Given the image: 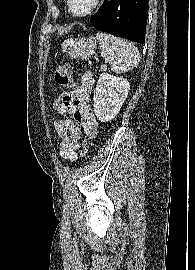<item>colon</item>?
Listing matches in <instances>:
<instances>
[{
    "instance_id": "colon-1",
    "label": "colon",
    "mask_w": 195,
    "mask_h": 270,
    "mask_svg": "<svg viewBox=\"0 0 195 270\" xmlns=\"http://www.w3.org/2000/svg\"><path fill=\"white\" fill-rule=\"evenodd\" d=\"M55 82L62 87H74V82L71 78V68L69 65H64L60 70L55 73ZM75 90L62 93L56 98L53 103V109H66L69 108L75 100ZM82 156H85L88 152V145L85 141L80 144Z\"/></svg>"
}]
</instances>
